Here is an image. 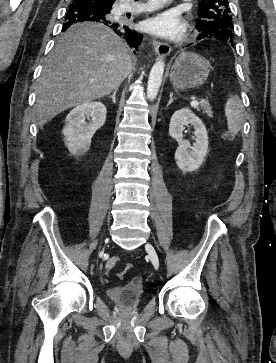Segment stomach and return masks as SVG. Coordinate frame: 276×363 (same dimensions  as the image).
Segmentation results:
<instances>
[{
    "label": "stomach",
    "mask_w": 276,
    "mask_h": 363,
    "mask_svg": "<svg viewBox=\"0 0 276 363\" xmlns=\"http://www.w3.org/2000/svg\"><path fill=\"white\" fill-rule=\"evenodd\" d=\"M210 70V62L204 57L196 53L182 52L175 58L169 77L176 89H196L205 83Z\"/></svg>",
    "instance_id": "0dacf381"
}]
</instances>
